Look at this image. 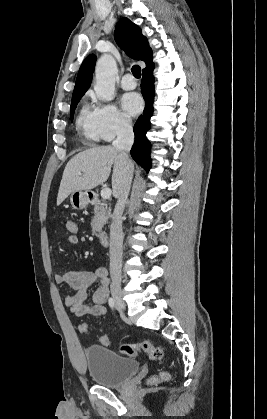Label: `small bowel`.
Wrapping results in <instances>:
<instances>
[{
    "mask_svg": "<svg viewBox=\"0 0 267 419\" xmlns=\"http://www.w3.org/2000/svg\"><path fill=\"white\" fill-rule=\"evenodd\" d=\"M54 279L58 285L68 287L72 291L64 296V304L75 316L106 314L110 280L105 267L88 271L56 272ZM96 282H99V287L92 295V304H87L88 290Z\"/></svg>",
    "mask_w": 267,
    "mask_h": 419,
    "instance_id": "small-bowel-1",
    "label": "small bowel"
}]
</instances>
